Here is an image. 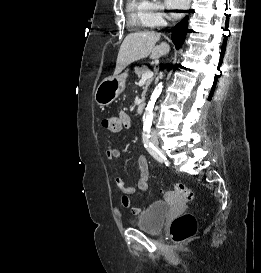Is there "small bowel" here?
<instances>
[{"mask_svg": "<svg viewBox=\"0 0 261 273\" xmlns=\"http://www.w3.org/2000/svg\"><path fill=\"white\" fill-rule=\"evenodd\" d=\"M119 118L121 125L126 129H130L133 125L131 116L124 112L120 111ZM121 156V151L116 148H108L106 150V157L109 160L118 159ZM137 164L139 167V178L132 185H127L124 178L121 176H116L115 184L122 191L123 195L121 198V204L125 208H130L131 212L134 214H139L142 209L131 207L130 195L137 193L139 190L146 192L148 189L147 180L149 176V165L148 159L145 154H139L137 156Z\"/></svg>", "mask_w": 261, "mask_h": 273, "instance_id": "obj_1", "label": "small bowel"}]
</instances>
